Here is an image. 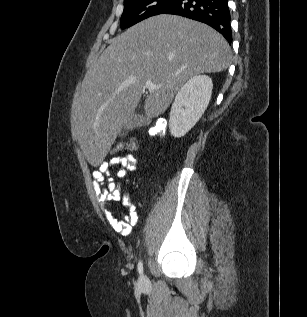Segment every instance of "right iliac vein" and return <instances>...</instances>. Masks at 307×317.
Returning <instances> with one entry per match:
<instances>
[{
  "label": "right iliac vein",
  "instance_id": "1",
  "mask_svg": "<svg viewBox=\"0 0 307 317\" xmlns=\"http://www.w3.org/2000/svg\"><path fill=\"white\" fill-rule=\"evenodd\" d=\"M148 283V279L146 276L142 275L140 278H139V284L141 286H145L146 284Z\"/></svg>",
  "mask_w": 307,
  "mask_h": 317
}]
</instances>
